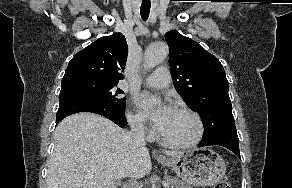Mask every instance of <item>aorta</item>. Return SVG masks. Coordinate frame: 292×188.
<instances>
[{
    "label": "aorta",
    "instance_id": "762f6f07",
    "mask_svg": "<svg viewBox=\"0 0 292 188\" xmlns=\"http://www.w3.org/2000/svg\"><path fill=\"white\" fill-rule=\"evenodd\" d=\"M169 48L164 42L152 43L145 51L144 66L147 69L154 68L161 63L168 55Z\"/></svg>",
    "mask_w": 292,
    "mask_h": 188
}]
</instances>
